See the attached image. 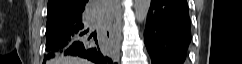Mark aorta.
I'll return each mask as SVG.
<instances>
[{
	"mask_svg": "<svg viewBox=\"0 0 242 64\" xmlns=\"http://www.w3.org/2000/svg\"><path fill=\"white\" fill-rule=\"evenodd\" d=\"M151 0H135V16L138 23L146 20Z\"/></svg>",
	"mask_w": 242,
	"mask_h": 64,
	"instance_id": "aorta-1",
	"label": "aorta"
}]
</instances>
